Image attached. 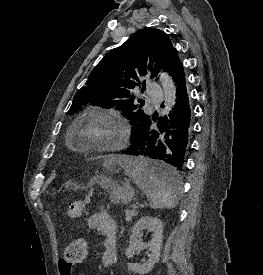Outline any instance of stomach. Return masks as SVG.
<instances>
[{
	"instance_id": "stomach-1",
	"label": "stomach",
	"mask_w": 263,
	"mask_h": 275,
	"mask_svg": "<svg viewBox=\"0 0 263 275\" xmlns=\"http://www.w3.org/2000/svg\"><path fill=\"white\" fill-rule=\"evenodd\" d=\"M63 186H66V187H71V188H74V189H77L78 186L76 183L74 182H71V181H68L67 183H65ZM134 196V190L129 186V185H126L124 187H120L118 185H114L112 188H111V201L114 202V203H128L132 200Z\"/></svg>"
}]
</instances>
